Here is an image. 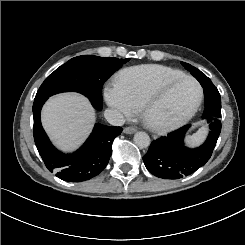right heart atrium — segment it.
Wrapping results in <instances>:
<instances>
[{
    "mask_svg": "<svg viewBox=\"0 0 245 245\" xmlns=\"http://www.w3.org/2000/svg\"><path fill=\"white\" fill-rule=\"evenodd\" d=\"M106 100L110 106L115 108L124 117L130 118L133 116L134 106L119 90L108 88Z\"/></svg>",
    "mask_w": 245,
    "mask_h": 245,
    "instance_id": "right-heart-atrium-1",
    "label": "right heart atrium"
}]
</instances>
